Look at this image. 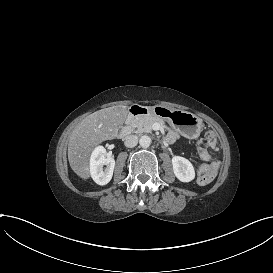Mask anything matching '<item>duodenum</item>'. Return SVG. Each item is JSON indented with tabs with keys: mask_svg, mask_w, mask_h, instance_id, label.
<instances>
[{
	"mask_svg": "<svg viewBox=\"0 0 273 273\" xmlns=\"http://www.w3.org/2000/svg\"><path fill=\"white\" fill-rule=\"evenodd\" d=\"M145 114H147V110L145 108L132 107L128 113L127 124L120 130L119 137L120 138L126 137L131 131L130 123L132 122V120L138 116Z\"/></svg>",
	"mask_w": 273,
	"mask_h": 273,
	"instance_id": "1",
	"label": "duodenum"
}]
</instances>
